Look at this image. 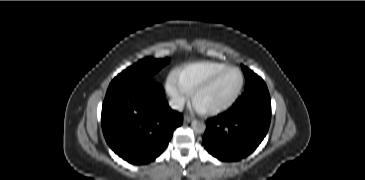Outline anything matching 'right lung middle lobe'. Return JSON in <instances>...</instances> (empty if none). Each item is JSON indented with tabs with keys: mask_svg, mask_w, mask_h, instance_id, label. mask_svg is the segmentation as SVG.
<instances>
[{
	"mask_svg": "<svg viewBox=\"0 0 365 180\" xmlns=\"http://www.w3.org/2000/svg\"><path fill=\"white\" fill-rule=\"evenodd\" d=\"M169 62L168 58L153 59L145 58L138 61L133 66L128 67L118 74L110 83L108 90L119 87L130 81L151 80V76L155 74L161 67Z\"/></svg>",
	"mask_w": 365,
	"mask_h": 180,
	"instance_id": "dd1d6c3e",
	"label": "right lung middle lobe"
}]
</instances>
